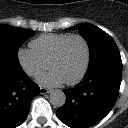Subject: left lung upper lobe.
Here are the masks:
<instances>
[{
  "label": "left lung upper lobe",
  "instance_id": "1",
  "mask_svg": "<svg viewBox=\"0 0 128 128\" xmlns=\"http://www.w3.org/2000/svg\"><path fill=\"white\" fill-rule=\"evenodd\" d=\"M69 29H78L87 41L90 49L89 64L104 56L120 55L119 49L112 37L97 26L81 23Z\"/></svg>",
  "mask_w": 128,
  "mask_h": 128
}]
</instances>
